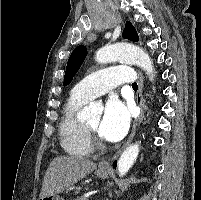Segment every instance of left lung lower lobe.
Returning <instances> with one entry per match:
<instances>
[{
    "mask_svg": "<svg viewBox=\"0 0 201 200\" xmlns=\"http://www.w3.org/2000/svg\"><path fill=\"white\" fill-rule=\"evenodd\" d=\"M116 166H117V162L115 161V162L113 163V167L116 168Z\"/></svg>",
    "mask_w": 201,
    "mask_h": 200,
    "instance_id": "left-lung-lower-lobe-1",
    "label": "left lung lower lobe"
}]
</instances>
